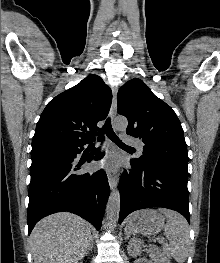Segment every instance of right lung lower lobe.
<instances>
[{"label":"right lung lower lobe","instance_id":"right-lung-lower-lobe-1","mask_svg":"<svg viewBox=\"0 0 220 263\" xmlns=\"http://www.w3.org/2000/svg\"><path fill=\"white\" fill-rule=\"evenodd\" d=\"M103 140V139H102ZM83 145L41 148L31 151L28 234L43 217L68 211L101 228L110 188L104 170L79 173L84 162L99 160L104 153L94 148L81 164L76 155Z\"/></svg>","mask_w":220,"mask_h":263}]
</instances>
